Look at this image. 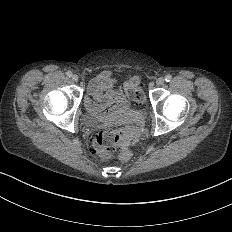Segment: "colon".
<instances>
[{
    "mask_svg": "<svg viewBox=\"0 0 232 232\" xmlns=\"http://www.w3.org/2000/svg\"><path fill=\"white\" fill-rule=\"evenodd\" d=\"M126 95H131L135 103H140L144 99V94L138 87L142 85L141 81L135 78L123 79ZM136 141V134L132 130L121 131L118 129H104L97 132L92 140V147L98 151L104 159H112L116 151L123 149L124 145H132Z\"/></svg>",
    "mask_w": 232,
    "mask_h": 232,
    "instance_id": "1",
    "label": "colon"
}]
</instances>
